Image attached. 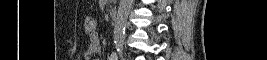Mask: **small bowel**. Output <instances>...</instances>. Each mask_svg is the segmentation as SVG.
<instances>
[{
  "label": "small bowel",
  "mask_w": 267,
  "mask_h": 60,
  "mask_svg": "<svg viewBox=\"0 0 267 60\" xmlns=\"http://www.w3.org/2000/svg\"><path fill=\"white\" fill-rule=\"evenodd\" d=\"M101 42L99 35L94 32L89 35V44L87 49L85 50V59L90 60L94 56L99 55L101 53ZM107 60H118V55L116 53H110L107 57Z\"/></svg>",
  "instance_id": "obj_1"
}]
</instances>
